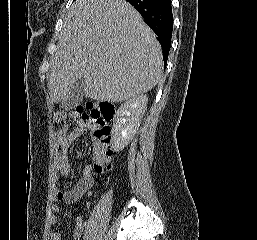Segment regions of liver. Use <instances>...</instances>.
Segmentation results:
<instances>
[{"instance_id":"obj_1","label":"liver","mask_w":257,"mask_h":240,"mask_svg":"<svg viewBox=\"0 0 257 240\" xmlns=\"http://www.w3.org/2000/svg\"><path fill=\"white\" fill-rule=\"evenodd\" d=\"M162 74L161 46L134 7L125 0H76L47 77L54 103L79 79L86 97L121 102L151 90Z\"/></svg>"}]
</instances>
